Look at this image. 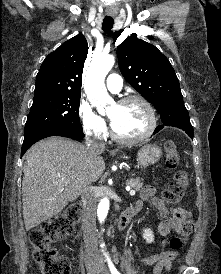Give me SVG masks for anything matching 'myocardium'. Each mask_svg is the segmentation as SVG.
Returning a JSON list of instances; mask_svg holds the SVG:
<instances>
[{
  "instance_id": "myocardium-1",
  "label": "myocardium",
  "mask_w": 221,
  "mask_h": 274,
  "mask_svg": "<svg viewBox=\"0 0 221 274\" xmlns=\"http://www.w3.org/2000/svg\"><path fill=\"white\" fill-rule=\"evenodd\" d=\"M134 102L140 103L141 105H143L145 107V109L148 113V118H149L148 127L143 134H141L137 137L128 138V137H122V136L118 135L111 124V129H110L111 137L118 143L137 144V143L144 142L148 138H150L152 136V134L154 133V131L156 130V127H157L156 110H155L154 106L144 97L139 96V95H129V96H126V97L120 99L117 102V105L123 106V105H127L129 103H134Z\"/></svg>"
}]
</instances>
